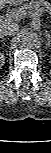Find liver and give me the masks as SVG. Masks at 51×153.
I'll list each match as a JSON object with an SVG mask.
<instances>
[{"mask_svg":"<svg viewBox=\"0 0 51 153\" xmlns=\"http://www.w3.org/2000/svg\"><path fill=\"white\" fill-rule=\"evenodd\" d=\"M24 2V0H0V5H12V4H20Z\"/></svg>","mask_w":51,"mask_h":153,"instance_id":"obj_1","label":"liver"}]
</instances>
